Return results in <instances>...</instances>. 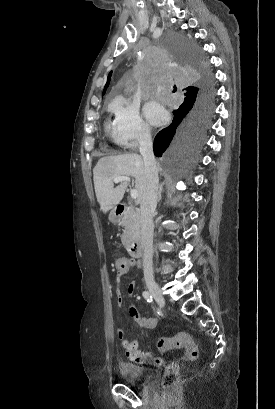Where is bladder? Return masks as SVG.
I'll return each instance as SVG.
<instances>
[{"label":"bladder","instance_id":"1","mask_svg":"<svg viewBox=\"0 0 275 409\" xmlns=\"http://www.w3.org/2000/svg\"><path fill=\"white\" fill-rule=\"evenodd\" d=\"M118 371L120 379L128 386L141 388V383L151 382L153 376L152 368H145L136 362L124 361L119 364Z\"/></svg>","mask_w":275,"mask_h":409}]
</instances>
